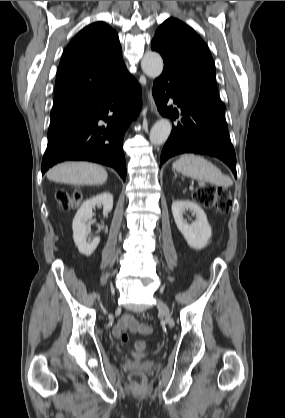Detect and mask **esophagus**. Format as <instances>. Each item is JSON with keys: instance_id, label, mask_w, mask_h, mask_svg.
Wrapping results in <instances>:
<instances>
[{"instance_id": "obj_1", "label": "esophagus", "mask_w": 285, "mask_h": 418, "mask_svg": "<svg viewBox=\"0 0 285 418\" xmlns=\"http://www.w3.org/2000/svg\"><path fill=\"white\" fill-rule=\"evenodd\" d=\"M146 98H147V100L149 102L150 109L155 112L156 111V106H155V104L153 102V99L151 97V94H150V92L148 90L146 91Z\"/></svg>"}]
</instances>
